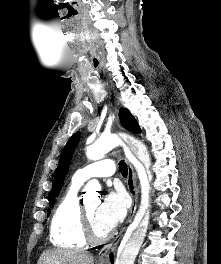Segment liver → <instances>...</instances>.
Instances as JSON below:
<instances>
[{
  "label": "liver",
  "mask_w": 221,
  "mask_h": 264,
  "mask_svg": "<svg viewBox=\"0 0 221 264\" xmlns=\"http://www.w3.org/2000/svg\"><path fill=\"white\" fill-rule=\"evenodd\" d=\"M37 264H94V257L85 251L50 249L41 254Z\"/></svg>",
  "instance_id": "obj_1"
}]
</instances>
